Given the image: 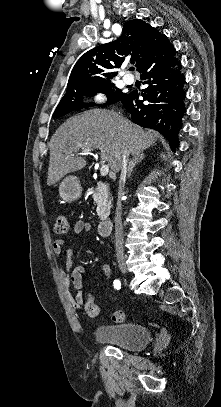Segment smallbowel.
I'll use <instances>...</instances> for the list:
<instances>
[{"label": "small bowel", "instance_id": "c3829d8e", "mask_svg": "<svg viewBox=\"0 0 221 407\" xmlns=\"http://www.w3.org/2000/svg\"><path fill=\"white\" fill-rule=\"evenodd\" d=\"M91 230V225L83 220H78L73 226V233L75 235H81ZM73 249L67 246V242L64 239H57L53 243V254L56 257H63L65 262L60 266L59 279L62 284L65 294L71 304L76 310L80 311L84 307V294L83 283L85 280L86 270L82 266H74L73 264ZM102 273L105 277H110L111 269L108 265L102 267ZM76 291V294L71 293L70 287Z\"/></svg>", "mask_w": 221, "mask_h": 407}]
</instances>
